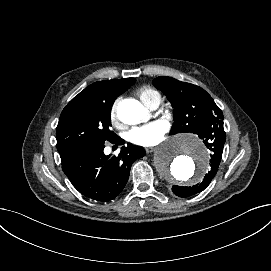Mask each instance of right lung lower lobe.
I'll use <instances>...</instances> for the list:
<instances>
[{
  "mask_svg": "<svg viewBox=\"0 0 271 271\" xmlns=\"http://www.w3.org/2000/svg\"><path fill=\"white\" fill-rule=\"evenodd\" d=\"M118 137L111 143L121 145ZM104 144H82L60 152L62 169L73 186L85 197L107 202L125 187L132 163L145 155L142 147L128 144L120 154L110 158Z\"/></svg>",
  "mask_w": 271,
  "mask_h": 271,
  "instance_id": "obj_1",
  "label": "right lung lower lobe"
}]
</instances>
